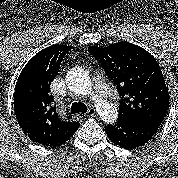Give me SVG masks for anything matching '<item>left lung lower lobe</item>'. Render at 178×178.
I'll return each instance as SVG.
<instances>
[{
  "instance_id": "left-lung-lower-lobe-1",
  "label": "left lung lower lobe",
  "mask_w": 178,
  "mask_h": 178,
  "mask_svg": "<svg viewBox=\"0 0 178 178\" xmlns=\"http://www.w3.org/2000/svg\"><path fill=\"white\" fill-rule=\"evenodd\" d=\"M161 124L134 119H117L114 125L105 126L109 139L125 149H134L152 139Z\"/></svg>"
}]
</instances>
